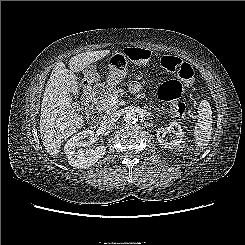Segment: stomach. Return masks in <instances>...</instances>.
Returning <instances> with one entry per match:
<instances>
[{
	"mask_svg": "<svg viewBox=\"0 0 245 245\" xmlns=\"http://www.w3.org/2000/svg\"><path fill=\"white\" fill-rule=\"evenodd\" d=\"M109 74L106 85L108 88H114L119 83L123 82L128 74V58L124 53L115 52L108 60ZM98 80L97 73L88 67L84 71V81L91 83Z\"/></svg>",
	"mask_w": 245,
	"mask_h": 245,
	"instance_id": "0dacf381",
	"label": "stomach"
}]
</instances>
